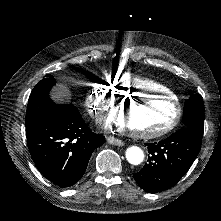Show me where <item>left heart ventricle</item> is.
Here are the masks:
<instances>
[{
    "label": "left heart ventricle",
    "mask_w": 221,
    "mask_h": 221,
    "mask_svg": "<svg viewBox=\"0 0 221 221\" xmlns=\"http://www.w3.org/2000/svg\"><path fill=\"white\" fill-rule=\"evenodd\" d=\"M171 116V102L162 98L135 100L131 105L119 104L114 109L115 119L121 124H127L135 134L141 133L146 124H162Z\"/></svg>",
    "instance_id": "left-heart-ventricle-1"
}]
</instances>
